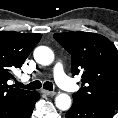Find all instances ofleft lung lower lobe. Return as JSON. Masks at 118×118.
Returning a JSON list of instances; mask_svg holds the SVG:
<instances>
[{
  "mask_svg": "<svg viewBox=\"0 0 118 118\" xmlns=\"http://www.w3.org/2000/svg\"><path fill=\"white\" fill-rule=\"evenodd\" d=\"M115 109L74 100L66 118H112Z\"/></svg>",
  "mask_w": 118,
  "mask_h": 118,
  "instance_id": "1",
  "label": "left lung lower lobe"
}]
</instances>
